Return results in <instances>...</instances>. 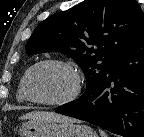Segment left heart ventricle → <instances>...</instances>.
I'll use <instances>...</instances> for the list:
<instances>
[{
  "mask_svg": "<svg viewBox=\"0 0 144 137\" xmlns=\"http://www.w3.org/2000/svg\"><path fill=\"white\" fill-rule=\"evenodd\" d=\"M74 85L71 74L55 65L37 68L30 77V94L38 99L59 100L66 97Z\"/></svg>",
  "mask_w": 144,
  "mask_h": 137,
  "instance_id": "left-heart-ventricle-1",
  "label": "left heart ventricle"
}]
</instances>
